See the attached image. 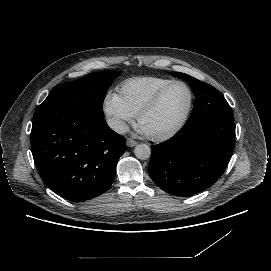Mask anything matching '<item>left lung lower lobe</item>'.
<instances>
[{"label":"left lung lower lobe","instance_id":"0a47b994","mask_svg":"<svg viewBox=\"0 0 271 271\" xmlns=\"http://www.w3.org/2000/svg\"><path fill=\"white\" fill-rule=\"evenodd\" d=\"M234 117L188 121L172 139L151 146L149 174L165 192L190 196L212 186L224 173L235 147Z\"/></svg>","mask_w":271,"mask_h":271}]
</instances>
